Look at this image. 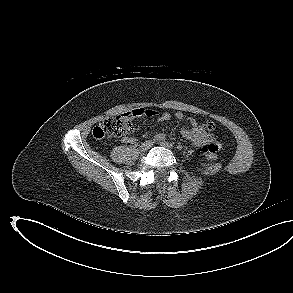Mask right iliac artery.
<instances>
[{
  "mask_svg": "<svg viewBox=\"0 0 293 293\" xmlns=\"http://www.w3.org/2000/svg\"><path fill=\"white\" fill-rule=\"evenodd\" d=\"M165 139H166V135L163 133L157 134L153 138L154 141H163Z\"/></svg>",
  "mask_w": 293,
  "mask_h": 293,
  "instance_id": "82829eb1",
  "label": "right iliac artery"
}]
</instances>
